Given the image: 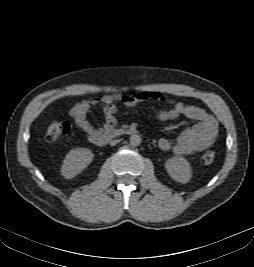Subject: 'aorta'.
I'll return each mask as SVG.
<instances>
[{"label": "aorta", "instance_id": "aorta-1", "mask_svg": "<svg viewBox=\"0 0 254 267\" xmlns=\"http://www.w3.org/2000/svg\"><path fill=\"white\" fill-rule=\"evenodd\" d=\"M141 143V137L137 134H133L130 136V144L132 146H139Z\"/></svg>", "mask_w": 254, "mask_h": 267}]
</instances>
